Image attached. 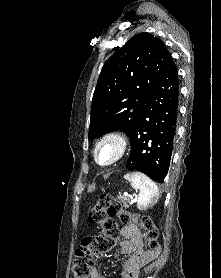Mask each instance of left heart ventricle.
I'll list each match as a JSON object with an SVG mask.
<instances>
[{
    "mask_svg": "<svg viewBox=\"0 0 221 278\" xmlns=\"http://www.w3.org/2000/svg\"><path fill=\"white\" fill-rule=\"evenodd\" d=\"M117 149L113 142H106L99 146L97 157L99 162L108 163L116 156Z\"/></svg>",
    "mask_w": 221,
    "mask_h": 278,
    "instance_id": "left-heart-ventricle-1",
    "label": "left heart ventricle"
}]
</instances>
